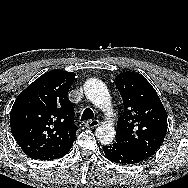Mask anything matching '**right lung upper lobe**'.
<instances>
[{
  "instance_id": "cb5924a9",
  "label": "right lung upper lobe",
  "mask_w": 188,
  "mask_h": 188,
  "mask_svg": "<svg viewBox=\"0 0 188 188\" xmlns=\"http://www.w3.org/2000/svg\"><path fill=\"white\" fill-rule=\"evenodd\" d=\"M75 73L52 70L31 83L16 98L10 126L29 157L66 146L75 140L74 108L68 91Z\"/></svg>"
}]
</instances>
